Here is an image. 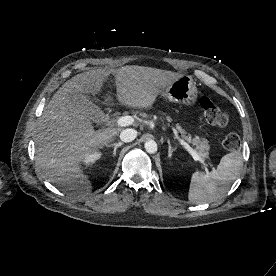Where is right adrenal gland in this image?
Here are the masks:
<instances>
[{
	"label": "right adrenal gland",
	"instance_id": "obj_1",
	"mask_svg": "<svg viewBox=\"0 0 276 276\" xmlns=\"http://www.w3.org/2000/svg\"><path fill=\"white\" fill-rule=\"evenodd\" d=\"M122 145H123V142H118V143H113V144L107 145V147H114L113 156H115L117 149L119 147H121Z\"/></svg>",
	"mask_w": 276,
	"mask_h": 276
}]
</instances>
